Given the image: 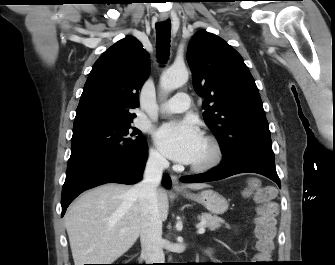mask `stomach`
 <instances>
[{"mask_svg": "<svg viewBox=\"0 0 335 265\" xmlns=\"http://www.w3.org/2000/svg\"><path fill=\"white\" fill-rule=\"evenodd\" d=\"M183 196L202 204L209 212L216 215L225 213L229 206L226 198L210 189L203 190L198 194L183 193Z\"/></svg>", "mask_w": 335, "mask_h": 265, "instance_id": "stomach-1", "label": "stomach"}]
</instances>
